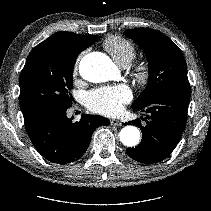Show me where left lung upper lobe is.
Instances as JSON below:
<instances>
[{"mask_svg": "<svg viewBox=\"0 0 211 211\" xmlns=\"http://www.w3.org/2000/svg\"><path fill=\"white\" fill-rule=\"evenodd\" d=\"M124 35L143 49L149 66L148 85L132 108L145 105L167 90L190 88L183 54L170 38L148 28L126 30Z\"/></svg>", "mask_w": 211, "mask_h": 211, "instance_id": "1", "label": "left lung upper lobe"}]
</instances>
